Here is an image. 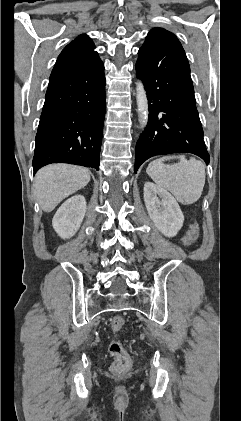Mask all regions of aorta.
<instances>
[{
  "label": "aorta",
  "instance_id": "1",
  "mask_svg": "<svg viewBox=\"0 0 241 421\" xmlns=\"http://www.w3.org/2000/svg\"><path fill=\"white\" fill-rule=\"evenodd\" d=\"M136 101L139 123L141 128H145L148 122L149 111L146 91L141 80H138L136 83Z\"/></svg>",
  "mask_w": 241,
  "mask_h": 421
}]
</instances>
